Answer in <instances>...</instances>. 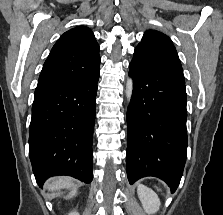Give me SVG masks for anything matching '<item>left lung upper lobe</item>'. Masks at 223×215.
I'll list each match as a JSON object with an SVG mask.
<instances>
[{"instance_id":"5c2ea615","label":"left lung upper lobe","mask_w":223,"mask_h":215,"mask_svg":"<svg viewBox=\"0 0 223 215\" xmlns=\"http://www.w3.org/2000/svg\"><path fill=\"white\" fill-rule=\"evenodd\" d=\"M136 67L156 72L185 84L176 49L168 36L148 30L134 50L131 61Z\"/></svg>"}]
</instances>
